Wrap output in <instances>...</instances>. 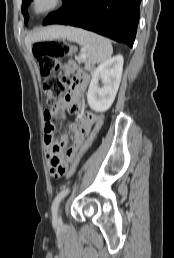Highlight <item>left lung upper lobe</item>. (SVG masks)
<instances>
[{
    "mask_svg": "<svg viewBox=\"0 0 174 258\" xmlns=\"http://www.w3.org/2000/svg\"><path fill=\"white\" fill-rule=\"evenodd\" d=\"M31 1H32V0H23V3H22L21 11H22V13H23V15H24L25 21L28 20L27 7H28V5L30 4ZM50 15H51V14H50ZM50 15H49V16H50Z\"/></svg>",
    "mask_w": 174,
    "mask_h": 258,
    "instance_id": "1",
    "label": "left lung upper lobe"
}]
</instances>
